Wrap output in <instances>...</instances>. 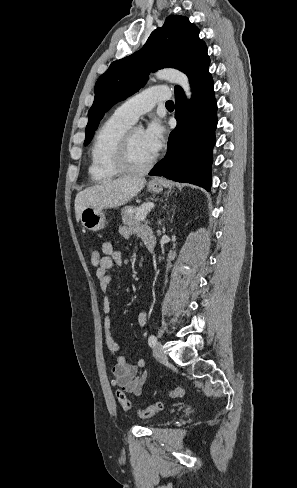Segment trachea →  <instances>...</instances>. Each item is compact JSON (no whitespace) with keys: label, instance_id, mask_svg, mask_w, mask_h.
<instances>
[{"label":"trachea","instance_id":"obj_1","mask_svg":"<svg viewBox=\"0 0 297 488\" xmlns=\"http://www.w3.org/2000/svg\"><path fill=\"white\" fill-rule=\"evenodd\" d=\"M166 107H174L173 101H167L166 102Z\"/></svg>","mask_w":297,"mask_h":488}]
</instances>
